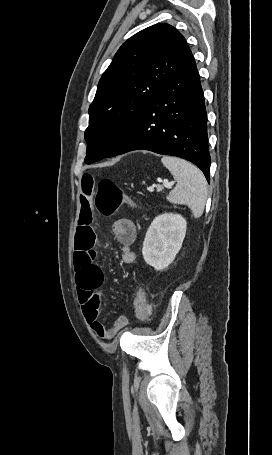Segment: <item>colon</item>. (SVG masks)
<instances>
[{"mask_svg":"<svg viewBox=\"0 0 272 455\" xmlns=\"http://www.w3.org/2000/svg\"><path fill=\"white\" fill-rule=\"evenodd\" d=\"M133 206V202L111 179L102 178L97 183L95 206L100 214L106 217L113 216L122 205ZM151 304L147 298L144 286H140L135 297L136 317L144 321L151 315Z\"/></svg>","mask_w":272,"mask_h":455,"instance_id":"obj_1","label":"colon"}]
</instances>
